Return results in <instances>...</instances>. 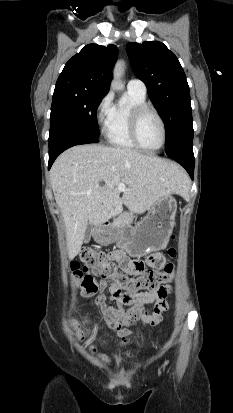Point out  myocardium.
Returning a JSON list of instances; mask_svg holds the SVG:
<instances>
[{
	"label": "myocardium",
	"instance_id": "obj_1",
	"mask_svg": "<svg viewBox=\"0 0 233 413\" xmlns=\"http://www.w3.org/2000/svg\"><path fill=\"white\" fill-rule=\"evenodd\" d=\"M147 112H152L156 116V118L158 119L161 125L162 140L159 146L155 148L145 147L139 139V124H140L141 118ZM129 133L136 147L146 152L160 151L165 146L166 140H167V129H166V124H165L163 117L161 116V114L155 107L147 103L140 104L133 108L131 115H130V121H129Z\"/></svg>",
	"mask_w": 233,
	"mask_h": 413
}]
</instances>
